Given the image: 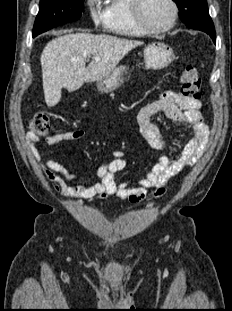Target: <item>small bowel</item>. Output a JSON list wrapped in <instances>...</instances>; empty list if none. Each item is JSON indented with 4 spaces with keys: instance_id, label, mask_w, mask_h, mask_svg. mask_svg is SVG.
Wrapping results in <instances>:
<instances>
[{
    "instance_id": "1",
    "label": "small bowel",
    "mask_w": 232,
    "mask_h": 311,
    "mask_svg": "<svg viewBox=\"0 0 232 311\" xmlns=\"http://www.w3.org/2000/svg\"><path fill=\"white\" fill-rule=\"evenodd\" d=\"M200 108L199 100L189 99L182 94L167 90L162 92L158 99L139 110L137 123L140 132L153 149L164 150L167 147V140L159 128L151 122V117L160 112L175 124L190 128L191 138L176 156H159L146 176L137 180L132 186L115 181V174L127 167V160L121 151H113L114 159L101 165L89 183L70 185L69 182L84 178L69 171L47 152L43 154L45 159L43 163L37 148L40 139L35 133L28 132L25 140L44 175L53 183L54 189L65 197L93 200L115 195L119 199L138 203L146 198L149 189L164 186L170 178L193 166L202 157L210 131ZM85 136L84 130L62 132L46 138L44 143L47 146H55L65 141L82 140Z\"/></svg>"
}]
</instances>
